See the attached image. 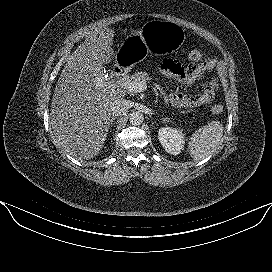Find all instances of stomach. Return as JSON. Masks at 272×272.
I'll list each match as a JSON object with an SVG mask.
<instances>
[{"label": "stomach", "instance_id": "1", "mask_svg": "<svg viewBox=\"0 0 272 272\" xmlns=\"http://www.w3.org/2000/svg\"><path fill=\"white\" fill-rule=\"evenodd\" d=\"M184 41L185 31L177 23L148 21L138 33L126 37L116 54V62L119 67L131 68L143 59L146 53L174 52Z\"/></svg>", "mask_w": 272, "mask_h": 272}]
</instances>
